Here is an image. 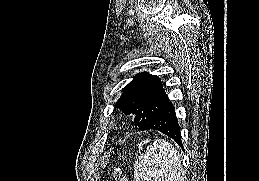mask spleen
I'll list each match as a JSON object with an SVG mask.
<instances>
[{
	"label": "spleen",
	"mask_w": 259,
	"mask_h": 181,
	"mask_svg": "<svg viewBox=\"0 0 259 181\" xmlns=\"http://www.w3.org/2000/svg\"><path fill=\"white\" fill-rule=\"evenodd\" d=\"M179 152L168 141L158 139L134 163L135 181H183Z\"/></svg>",
	"instance_id": "spleen-1"
}]
</instances>
